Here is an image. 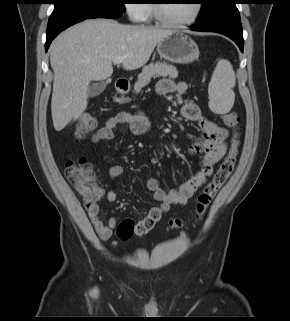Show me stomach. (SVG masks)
I'll use <instances>...</instances> for the list:
<instances>
[{"label":"stomach","mask_w":290,"mask_h":321,"mask_svg":"<svg viewBox=\"0 0 290 321\" xmlns=\"http://www.w3.org/2000/svg\"><path fill=\"white\" fill-rule=\"evenodd\" d=\"M159 56L177 64L192 63L199 57L195 41L181 31H172L157 44Z\"/></svg>","instance_id":"0dacf381"}]
</instances>
